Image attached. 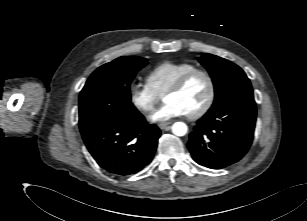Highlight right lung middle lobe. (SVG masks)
I'll return each mask as SVG.
<instances>
[{"instance_id": "right-lung-middle-lobe-1", "label": "right lung middle lobe", "mask_w": 307, "mask_h": 221, "mask_svg": "<svg viewBox=\"0 0 307 221\" xmlns=\"http://www.w3.org/2000/svg\"><path fill=\"white\" fill-rule=\"evenodd\" d=\"M147 59L123 56L96 69L79 96L81 133L97 122L122 119L137 112L131 103L130 83Z\"/></svg>"}]
</instances>
